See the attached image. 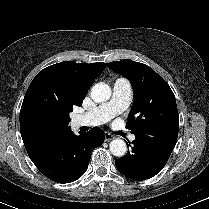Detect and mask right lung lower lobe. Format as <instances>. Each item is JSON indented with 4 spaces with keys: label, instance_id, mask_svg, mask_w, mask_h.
Wrapping results in <instances>:
<instances>
[{
    "label": "right lung lower lobe",
    "instance_id": "obj_1",
    "mask_svg": "<svg viewBox=\"0 0 209 209\" xmlns=\"http://www.w3.org/2000/svg\"><path fill=\"white\" fill-rule=\"evenodd\" d=\"M103 133L98 127L79 136L69 131L32 161L52 181H76L87 170L92 150L103 144Z\"/></svg>",
    "mask_w": 209,
    "mask_h": 209
}]
</instances>
